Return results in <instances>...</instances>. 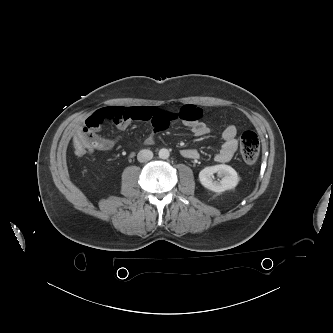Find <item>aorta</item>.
I'll return each instance as SVG.
<instances>
[{"label":"aorta","instance_id":"1","mask_svg":"<svg viewBox=\"0 0 333 333\" xmlns=\"http://www.w3.org/2000/svg\"><path fill=\"white\" fill-rule=\"evenodd\" d=\"M158 155H159V158H161V159H168L170 156V153H169L168 149L162 148L159 150Z\"/></svg>","mask_w":333,"mask_h":333}]
</instances>
